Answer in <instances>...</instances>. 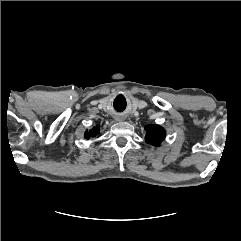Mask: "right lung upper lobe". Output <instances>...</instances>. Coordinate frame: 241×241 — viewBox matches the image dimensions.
Listing matches in <instances>:
<instances>
[{
	"mask_svg": "<svg viewBox=\"0 0 241 241\" xmlns=\"http://www.w3.org/2000/svg\"><path fill=\"white\" fill-rule=\"evenodd\" d=\"M99 133V127L96 126L93 129H91L89 132L87 131L85 133V138L89 139L91 136H96Z\"/></svg>",
	"mask_w": 241,
	"mask_h": 241,
	"instance_id": "cb5924a9",
	"label": "right lung upper lobe"
}]
</instances>
